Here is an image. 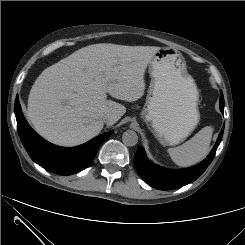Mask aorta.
<instances>
[{
  "mask_svg": "<svg viewBox=\"0 0 245 245\" xmlns=\"http://www.w3.org/2000/svg\"><path fill=\"white\" fill-rule=\"evenodd\" d=\"M122 141L126 146H135L138 142V135L133 130H127L122 135Z\"/></svg>",
  "mask_w": 245,
  "mask_h": 245,
  "instance_id": "762f6f07",
  "label": "aorta"
}]
</instances>
